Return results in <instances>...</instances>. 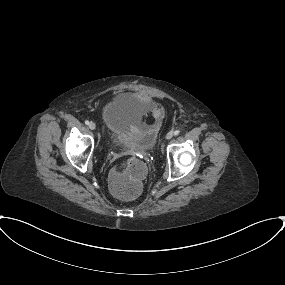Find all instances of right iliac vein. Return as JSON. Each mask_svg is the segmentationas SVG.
<instances>
[{
  "label": "right iliac vein",
  "mask_w": 285,
  "mask_h": 285,
  "mask_svg": "<svg viewBox=\"0 0 285 285\" xmlns=\"http://www.w3.org/2000/svg\"><path fill=\"white\" fill-rule=\"evenodd\" d=\"M89 128H90L91 130H95V129H96V124H95L93 121H91V122L89 123Z\"/></svg>",
  "instance_id": "63e3f726"
}]
</instances>
